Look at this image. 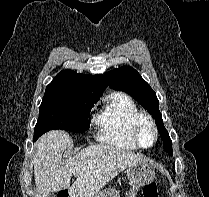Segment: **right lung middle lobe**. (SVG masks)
Here are the masks:
<instances>
[{"label": "right lung middle lobe", "instance_id": "1", "mask_svg": "<svg viewBox=\"0 0 209 197\" xmlns=\"http://www.w3.org/2000/svg\"><path fill=\"white\" fill-rule=\"evenodd\" d=\"M98 99L81 88L47 86L39 108L34 139L52 129L71 132L88 130V116Z\"/></svg>", "mask_w": 209, "mask_h": 197}]
</instances>
